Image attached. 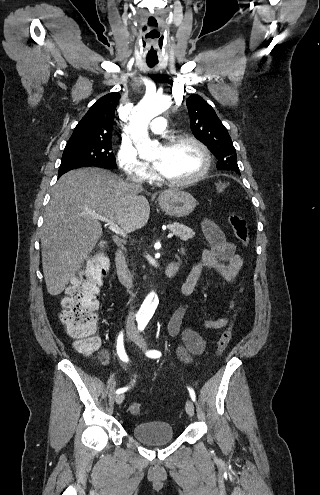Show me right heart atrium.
I'll return each mask as SVG.
<instances>
[{"label": "right heart atrium", "instance_id": "d8ad5b80", "mask_svg": "<svg viewBox=\"0 0 320 495\" xmlns=\"http://www.w3.org/2000/svg\"><path fill=\"white\" fill-rule=\"evenodd\" d=\"M118 163L123 172L138 180H150L152 173L148 165L138 159L135 149L128 143H123L118 151Z\"/></svg>", "mask_w": 320, "mask_h": 495}]
</instances>
